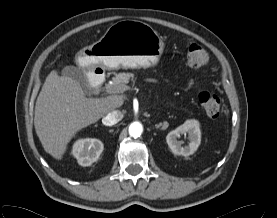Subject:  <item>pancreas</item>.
I'll list each match as a JSON object with an SVG mask.
<instances>
[{"label": "pancreas", "instance_id": "1", "mask_svg": "<svg viewBox=\"0 0 277 218\" xmlns=\"http://www.w3.org/2000/svg\"><path fill=\"white\" fill-rule=\"evenodd\" d=\"M135 75L133 73H118L112 79V84L108 85L113 93H122L129 89L127 84L129 81H135Z\"/></svg>", "mask_w": 277, "mask_h": 218}]
</instances>
